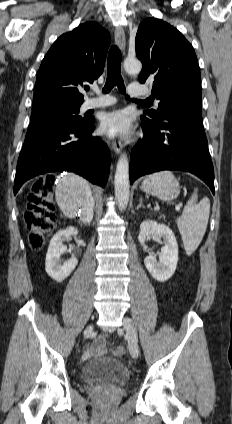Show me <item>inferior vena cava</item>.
<instances>
[{
	"label": "inferior vena cava",
	"mask_w": 232,
	"mask_h": 424,
	"mask_svg": "<svg viewBox=\"0 0 232 424\" xmlns=\"http://www.w3.org/2000/svg\"><path fill=\"white\" fill-rule=\"evenodd\" d=\"M94 199L91 192H88L83 200L82 206L79 210L80 219L89 224L93 218Z\"/></svg>",
	"instance_id": "inferior-vena-cava-1"
}]
</instances>
